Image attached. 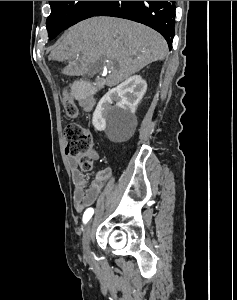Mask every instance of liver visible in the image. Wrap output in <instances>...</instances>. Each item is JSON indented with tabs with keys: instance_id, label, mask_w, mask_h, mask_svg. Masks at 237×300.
<instances>
[{
	"instance_id": "obj_1",
	"label": "liver",
	"mask_w": 237,
	"mask_h": 300,
	"mask_svg": "<svg viewBox=\"0 0 237 300\" xmlns=\"http://www.w3.org/2000/svg\"><path fill=\"white\" fill-rule=\"evenodd\" d=\"M49 55V61H65L69 65L63 75H85L99 61H105L110 75L104 79L107 87H115L143 67L163 61L168 45L156 31L125 19L92 17L68 29Z\"/></svg>"
}]
</instances>
